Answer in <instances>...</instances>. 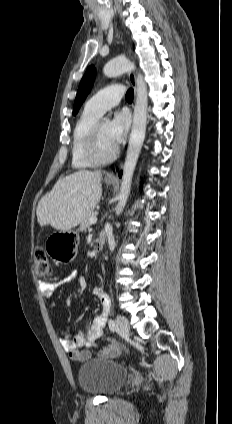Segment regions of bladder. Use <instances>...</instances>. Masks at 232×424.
Here are the masks:
<instances>
[{
  "mask_svg": "<svg viewBox=\"0 0 232 424\" xmlns=\"http://www.w3.org/2000/svg\"><path fill=\"white\" fill-rule=\"evenodd\" d=\"M128 372L116 361L92 359L78 371V383L82 390L96 395H110L127 381Z\"/></svg>",
  "mask_w": 232,
  "mask_h": 424,
  "instance_id": "1",
  "label": "bladder"
}]
</instances>
